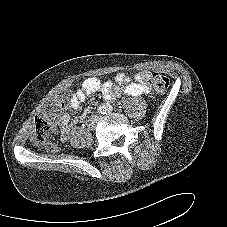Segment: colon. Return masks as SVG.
<instances>
[{
  "label": "colon",
  "instance_id": "obj_1",
  "mask_svg": "<svg viewBox=\"0 0 227 227\" xmlns=\"http://www.w3.org/2000/svg\"><path fill=\"white\" fill-rule=\"evenodd\" d=\"M151 84L155 92L164 93L169 88V79L161 73H154L151 77ZM67 99L68 94L62 92L54 97L47 98L40 105L41 114L35 117L31 132V140L36 146L51 152L57 150V145L53 140V126L49 117L64 106Z\"/></svg>",
  "mask_w": 227,
  "mask_h": 227
}]
</instances>
